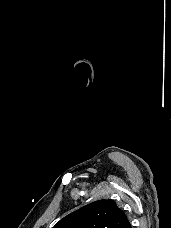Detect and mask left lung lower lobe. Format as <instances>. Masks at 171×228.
Returning a JSON list of instances; mask_svg holds the SVG:
<instances>
[{
	"mask_svg": "<svg viewBox=\"0 0 171 228\" xmlns=\"http://www.w3.org/2000/svg\"><path fill=\"white\" fill-rule=\"evenodd\" d=\"M122 228H132L130 222L128 221Z\"/></svg>",
	"mask_w": 171,
	"mask_h": 228,
	"instance_id": "obj_1",
	"label": "left lung lower lobe"
}]
</instances>
